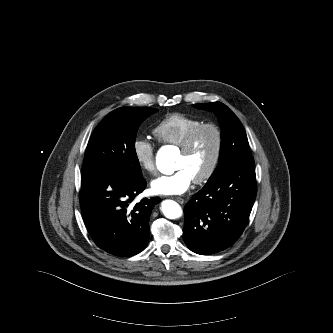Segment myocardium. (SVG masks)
<instances>
[{"label":"myocardium","instance_id":"1","mask_svg":"<svg viewBox=\"0 0 333 333\" xmlns=\"http://www.w3.org/2000/svg\"><path fill=\"white\" fill-rule=\"evenodd\" d=\"M210 129L214 132L215 134V148H214V153L212 156V159L210 161L209 166L207 169L204 171L203 174L198 176L197 178L193 179V182L195 184H202L207 182L215 173L220 157H221V152H222V146H223V134L220 129V127L214 123H202L195 127L185 138L184 142L180 145V152L183 154H188L192 151L196 139L199 136V134L206 130Z\"/></svg>","mask_w":333,"mask_h":333}]
</instances>
